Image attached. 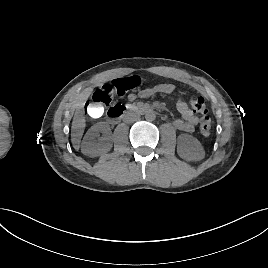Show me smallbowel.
Returning <instances> with one entry per match:
<instances>
[{
    "mask_svg": "<svg viewBox=\"0 0 268 268\" xmlns=\"http://www.w3.org/2000/svg\"><path fill=\"white\" fill-rule=\"evenodd\" d=\"M177 87L170 83H161L150 88H145L139 90L136 93H131L128 95L129 101H134L138 98H156L165 97L173 94ZM176 107L181 115V118L175 119L173 121V126L182 132H192L196 125L198 124V117L195 115L194 111L190 109L188 104L182 98H179L176 102Z\"/></svg>",
    "mask_w": 268,
    "mask_h": 268,
    "instance_id": "small-bowel-1",
    "label": "small bowel"
}]
</instances>
